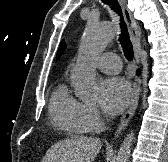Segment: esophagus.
I'll return each mask as SVG.
<instances>
[{
    "label": "esophagus",
    "instance_id": "1",
    "mask_svg": "<svg viewBox=\"0 0 168 162\" xmlns=\"http://www.w3.org/2000/svg\"><path fill=\"white\" fill-rule=\"evenodd\" d=\"M118 2L122 8L123 16L126 21L128 31L130 34V39H131L133 46H134L135 63L139 64L140 54H141L140 30H139L136 22L134 21L130 10L127 8L126 0H118ZM140 93H141V79L139 76H137L134 80V83H133V95H132V100H131L130 106L127 109V111L125 112V114L122 116V118L119 122L117 130L115 132V138H117L121 134V132L125 129V127L130 122L131 118L133 117V115L137 109V106H138Z\"/></svg>",
    "mask_w": 168,
    "mask_h": 162
}]
</instances>
